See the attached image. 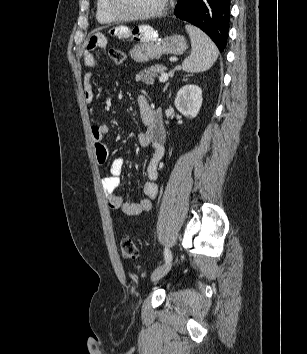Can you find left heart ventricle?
I'll return each mask as SVG.
<instances>
[{
	"instance_id": "obj_1",
	"label": "left heart ventricle",
	"mask_w": 307,
	"mask_h": 354,
	"mask_svg": "<svg viewBox=\"0 0 307 354\" xmlns=\"http://www.w3.org/2000/svg\"><path fill=\"white\" fill-rule=\"evenodd\" d=\"M161 0H117L118 9L126 14H141L155 10Z\"/></svg>"
}]
</instances>
